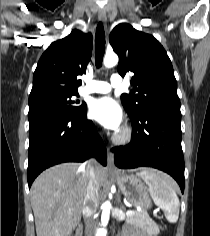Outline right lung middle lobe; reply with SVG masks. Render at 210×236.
Returning <instances> with one entry per match:
<instances>
[{"mask_svg": "<svg viewBox=\"0 0 210 236\" xmlns=\"http://www.w3.org/2000/svg\"><path fill=\"white\" fill-rule=\"evenodd\" d=\"M75 93L65 92H46L37 96L34 100L29 101V120L50 114V113H63L70 115H82L87 112L85 104L73 106L78 104L79 101L71 99Z\"/></svg>", "mask_w": 210, "mask_h": 236, "instance_id": "obj_1", "label": "right lung middle lobe"}]
</instances>
